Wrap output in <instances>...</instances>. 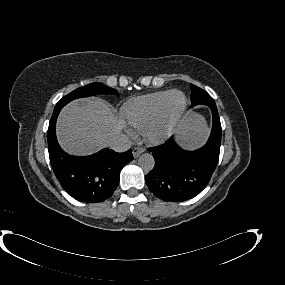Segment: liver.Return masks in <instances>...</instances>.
Listing matches in <instances>:
<instances>
[{"label": "liver", "instance_id": "1", "mask_svg": "<svg viewBox=\"0 0 285 285\" xmlns=\"http://www.w3.org/2000/svg\"><path fill=\"white\" fill-rule=\"evenodd\" d=\"M126 126L110 106L100 98L75 100L65 106L57 121V137L70 154L86 155L108 145V140ZM205 125L199 116L188 113L179 125V139L188 147L202 143Z\"/></svg>", "mask_w": 285, "mask_h": 285}]
</instances>
